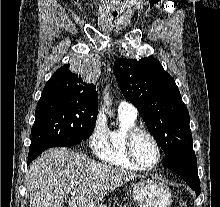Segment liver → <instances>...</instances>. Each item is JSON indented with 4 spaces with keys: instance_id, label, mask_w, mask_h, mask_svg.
Here are the masks:
<instances>
[{
    "instance_id": "6515ba94",
    "label": "liver",
    "mask_w": 220,
    "mask_h": 207,
    "mask_svg": "<svg viewBox=\"0 0 220 207\" xmlns=\"http://www.w3.org/2000/svg\"><path fill=\"white\" fill-rule=\"evenodd\" d=\"M138 177L122 168L57 148L46 151L30 165L25 181L29 207H64L68 194V207H94L108 193Z\"/></svg>"
}]
</instances>
